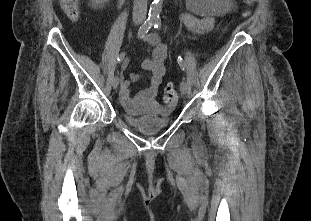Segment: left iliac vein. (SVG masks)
Wrapping results in <instances>:
<instances>
[{
	"mask_svg": "<svg viewBox=\"0 0 311 221\" xmlns=\"http://www.w3.org/2000/svg\"><path fill=\"white\" fill-rule=\"evenodd\" d=\"M180 90H181L182 94H184V95L188 92L189 86H188L187 82L182 81L180 83Z\"/></svg>",
	"mask_w": 311,
	"mask_h": 221,
	"instance_id": "obj_1",
	"label": "left iliac vein"
}]
</instances>
